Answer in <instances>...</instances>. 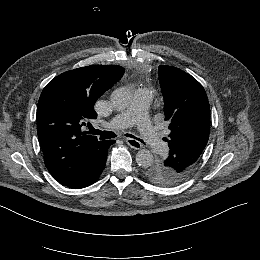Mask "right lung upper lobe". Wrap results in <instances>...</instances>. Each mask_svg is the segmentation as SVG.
<instances>
[{"mask_svg":"<svg viewBox=\"0 0 260 260\" xmlns=\"http://www.w3.org/2000/svg\"><path fill=\"white\" fill-rule=\"evenodd\" d=\"M124 74L118 65H91L62 73L43 89L37 132L44 162L54 178L79 169L103 152L108 141L81 130L96 119L94 103Z\"/></svg>","mask_w":260,"mask_h":260,"instance_id":"cb5924a9","label":"right lung upper lobe"}]
</instances>
